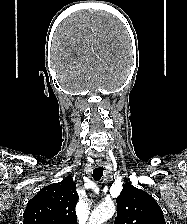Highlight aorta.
Wrapping results in <instances>:
<instances>
[{"instance_id": "762f6f07", "label": "aorta", "mask_w": 187, "mask_h": 224, "mask_svg": "<svg viewBox=\"0 0 187 224\" xmlns=\"http://www.w3.org/2000/svg\"><path fill=\"white\" fill-rule=\"evenodd\" d=\"M115 213L113 202H107L99 205L92 213L88 224H103Z\"/></svg>"}]
</instances>
